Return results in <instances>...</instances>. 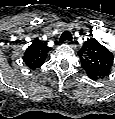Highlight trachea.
<instances>
[{"mask_svg":"<svg viewBox=\"0 0 115 119\" xmlns=\"http://www.w3.org/2000/svg\"><path fill=\"white\" fill-rule=\"evenodd\" d=\"M65 41H72V34L69 31H64L60 37V43Z\"/></svg>","mask_w":115,"mask_h":119,"instance_id":"1","label":"trachea"}]
</instances>
